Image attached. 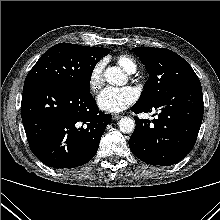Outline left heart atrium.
Listing matches in <instances>:
<instances>
[{"instance_id":"1","label":"left heart atrium","mask_w":220,"mask_h":220,"mask_svg":"<svg viewBox=\"0 0 220 220\" xmlns=\"http://www.w3.org/2000/svg\"><path fill=\"white\" fill-rule=\"evenodd\" d=\"M137 98L138 92L133 87H106L97 96V104L103 111L119 113L133 104Z\"/></svg>"}]
</instances>
